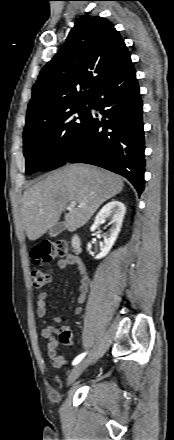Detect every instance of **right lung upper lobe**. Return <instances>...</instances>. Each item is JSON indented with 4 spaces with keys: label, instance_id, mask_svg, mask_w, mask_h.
<instances>
[{
    "label": "right lung upper lobe",
    "instance_id": "cb5924a9",
    "mask_svg": "<svg viewBox=\"0 0 174 440\" xmlns=\"http://www.w3.org/2000/svg\"><path fill=\"white\" fill-rule=\"evenodd\" d=\"M130 60L124 40L109 20L81 16L33 86L24 131L89 100L103 80Z\"/></svg>",
    "mask_w": 174,
    "mask_h": 440
}]
</instances>
